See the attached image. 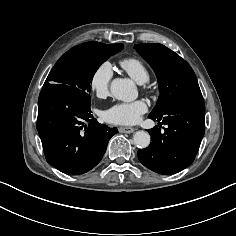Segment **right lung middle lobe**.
<instances>
[{
    "label": "right lung middle lobe",
    "mask_w": 236,
    "mask_h": 236,
    "mask_svg": "<svg viewBox=\"0 0 236 236\" xmlns=\"http://www.w3.org/2000/svg\"><path fill=\"white\" fill-rule=\"evenodd\" d=\"M122 49V43L106 45L95 41L75 46L56 62L43 87L51 84L68 86L74 94L90 103L89 91L95 72Z\"/></svg>",
    "instance_id": "1"
}]
</instances>
